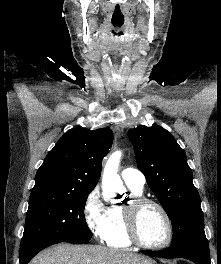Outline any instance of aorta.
<instances>
[{"mask_svg":"<svg viewBox=\"0 0 221 264\" xmlns=\"http://www.w3.org/2000/svg\"><path fill=\"white\" fill-rule=\"evenodd\" d=\"M122 153L116 151L108 158L102 175V194L105 199L116 197V193L124 190L118 169Z\"/></svg>","mask_w":221,"mask_h":264,"instance_id":"aorta-1","label":"aorta"}]
</instances>
